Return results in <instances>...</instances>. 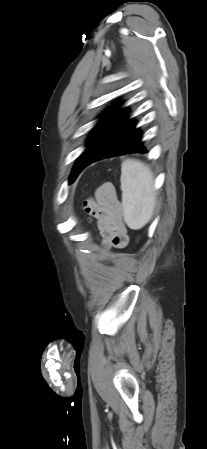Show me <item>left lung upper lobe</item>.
<instances>
[{"instance_id": "1", "label": "left lung upper lobe", "mask_w": 207, "mask_h": 449, "mask_svg": "<svg viewBox=\"0 0 207 449\" xmlns=\"http://www.w3.org/2000/svg\"><path fill=\"white\" fill-rule=\"evenodd\" d=\"M116 108L110 110L112 112L106 116L97 126L96 131L91 136V140L88 143L87 149L80 155L76 164L74 165L73 172L70 176V183L73 182L77 175L87 167L91 160L97 155L105 140L108 138L114 128L126 117L128 111L121 109L114 111Z\"/></svg>"}]
</instances>
